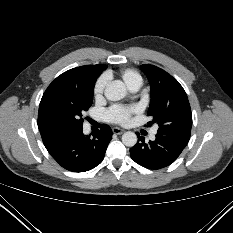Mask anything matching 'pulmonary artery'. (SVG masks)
Segmentation results:
<instances>
[{"instance_id":"obj_1","label":"pulmonary artery","mask_w":233,"mask_h":233,"mask_svg":"<svg viewBox=\"0 0 233 233\" xmlns=\"http://www.w3.org/2000/svg\"><path fill=\"white\" fill-rule=\"evenodd\" d=\"M140 86H141V81H138L133 85H131L129 88L132 92H137L140 89ZM156 134H157V127L152 130L150 135L151 139H155Z\"/></svg>"}]
</instances>
